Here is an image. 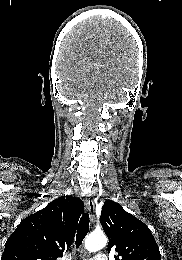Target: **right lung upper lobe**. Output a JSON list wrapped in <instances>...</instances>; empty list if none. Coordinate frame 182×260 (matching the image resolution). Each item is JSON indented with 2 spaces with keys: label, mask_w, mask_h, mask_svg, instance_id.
I'll list each match as a JSON object with an SVG mask.
<instances>
[{
  "label": "right lung upper lobe",
  "mask_w": 182,
  "mask_h": 260,
  "mask_svg": "<svg viewBox=\"0 0 182 260\" xmlns=\"http://www.w3.org/2000/svg\"><path fill=\"white\" fill-rule=\"evenodd\" d=\"M81 199L62 196L26 217L7 239L1 260H57L74 240Z\"/></svg>",
  "instance_id": "obj_1"
}]
</instances>
